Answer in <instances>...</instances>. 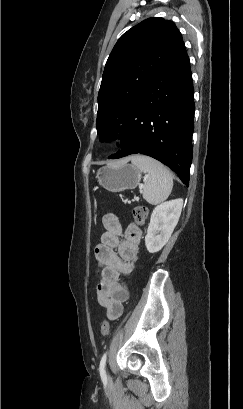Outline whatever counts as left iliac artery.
Returning <instances> with one entry per match:
<instances>
[{
    "instance_id": "44dca946",
    "label": "left iliac artery",
    "mask_w": 243,
    "mask_h": 409,
    "mask_svg": "<svg viewBox=\"0 0 243 409\" xmlns=\"http://www.w3.org/2000/svg\"><path fill=\"white\" fill-rule=\"evenodd\" d=\"M106 359H107V352H105L104 355L102 356L100 365H99V372H100L101 379L103 381L107 380L106 372H105Z\"/></svg>"
}]
</instances>
